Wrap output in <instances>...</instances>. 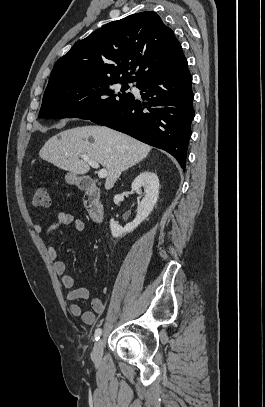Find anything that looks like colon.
Instances as JSON below:
<instances>
[{
	"instance_id": "1",
	"label": "colon",
	"mask_w": 265,
	"mask_h": 407,
	"mask_svg": "<svg viewBox=\"0 0 265 407\" xmlns=\"http://www.w3.org/2000/svg\"><path fill=\"white\" fill-rule=\"evenodd\" d=\"M33 204L37 207H46L50 204V196L45 185H37L33 193Z\"/></svg>"
}]
</instances>
